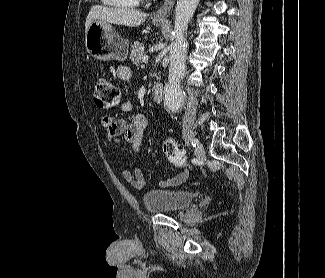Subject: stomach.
<instances>
[{
	"label": "stomach",
	"instance_id": "1",
	"mask_svg": "<svg viewBox=\"0 0 325 278\" xmlns=\"http://www.w3.org/2000/svg\"><path fill=\"white\" fill-rule=\"evenodd\" d=\"M155 26L161 21H153ZM87 52L97 60H124L128 54V42L119 37L108 22L94 21L85 34Z\"/></svg>",
	"mask_w": 325,
	"mask_h": 278
}]
</instances>
